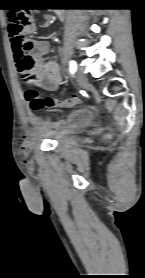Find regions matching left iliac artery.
Masks as SVG:
<instances>
[{
  "mask_svg": "<svg viewBox=\"0 0 145 278\" xmlns=\"http://www.w3.org/2000/svg\"><path fill=\"white\" fill-rule=\"evenodd\" d=\"M69 70H70V73H71V74H74V73L76 72V70H77V64H76V62H75L74 60H71V61L69 62Z\"/></svg>",
  "mask_w": 145,
  "mask_h": 278,
  "instance_id": "44dca946",
  "label": "left iliac artery"
}]
</instances>
